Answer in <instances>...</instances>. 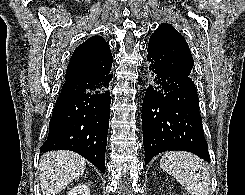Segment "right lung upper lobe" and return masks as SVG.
<instances>
[{
  "label": "right lung upper lobe",
  "mask_w": 245,
  "mask_h": 195,
  "mask_svg": "<svg viewBox=\"0 0 245 195\" xmlns=\"http://www.w3.org/2000/svg\"><path fill=\"white\" fill-rule=\"evenodd\" d=\"M112 54L109 45L101 36H93L79 45L68 64L65 80L87 77L111 68Z\"/></svg>",
  "instance_id": "cb5924a9"
}]
</instances>
